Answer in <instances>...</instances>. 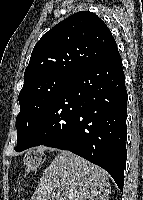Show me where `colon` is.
<instances>
[{"label": "colon", "instance_id": "colon-1", "mask_svg": "<svg viewBox=\"0 0 143 200\" xmlns=\"http://www.w3.org/2000/svg\"><path fill=\"white\" fill-rule=\"evenodd\" d=\"M44 153L39 150H30L24 155V168L27 172L36 171L44 162Z\"/></svg>", "mask_w": 143, "mask_h": 200}]
</instances>
